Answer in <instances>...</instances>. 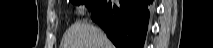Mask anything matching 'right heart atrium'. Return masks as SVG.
I'll list each match as a JSON object with an SVG mask.
<instances>
[{"instance_id":"d8ad5b80","label":"right heart atrium","mask_w":213,"mask_h":48,"mask_svg":"<svg viewBox=\"0 0 213 48\" xmlns=\"http://www.w3.org/2000/svg\"><path fill=\"white\" fill-rule=\"evenodd\" d=\"M86 10V7L84 5H80L77 9L78 14H83Z\"/></svg>"}]
</instances>
